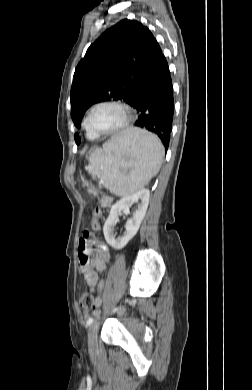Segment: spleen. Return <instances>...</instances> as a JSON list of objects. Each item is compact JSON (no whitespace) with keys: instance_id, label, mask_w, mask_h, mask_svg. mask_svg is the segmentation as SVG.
Masks as SVG:
<instances>
[{"instance_id":"1","label":"spleen","mask_w":252,"mask_h":390,"mask_svg":"<svg viewBox=\"0 0 252 390\" xmlns=\"http://www.w3.org/2000/svg\"><path fill=\"white\" fill-rule=\"evenodd\" d=\"M163 156L164 147L156 135L131 128L91 153L88 170L110 192L125 197L143 188L158 173Z\"/></svg>"}]
</instances>
